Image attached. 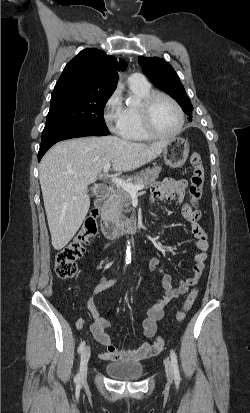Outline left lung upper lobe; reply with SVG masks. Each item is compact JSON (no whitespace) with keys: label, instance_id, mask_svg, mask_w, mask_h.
I'll return each mask as SVG.
<instances>
[{"label":"left lung upper lobe","instance_id":"obj_1","mask_svg":"<svg viewBox=\"0 0 250 413\" xmlns=\"http://www.w3.org/2000/svg\"><path fill=\"white\" fill-rule=\"evenodd\" d=\"M139 64L148 79L157 88L173 97L192 121L193 106L173 67L157 57H139Z\"/></svg>","mask_w":250,"mask_h":413}]
</instances>
